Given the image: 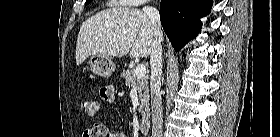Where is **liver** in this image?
Here are the masks:
<instances>
[{
    "instance_id": "obj_1",
    "label": "liver",
    "mask_w": 280,
    "mask_h": 137,
    "mask_svg": "<svg viewBox=\"0 0 280 137\" xmlns=\"http://www.w3.org/2000/svg\"><path fill=\"white\" fill-rule=\"evenodd\" d=\"M151 22L139 9L111 8L84 21L76 45V64L91 55L148 57L153 43ZM163 35L161 36V41Z\"/></svg>"
}]
</instances>
